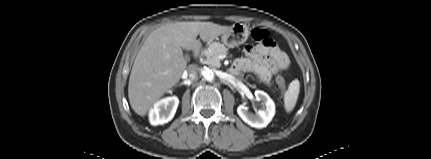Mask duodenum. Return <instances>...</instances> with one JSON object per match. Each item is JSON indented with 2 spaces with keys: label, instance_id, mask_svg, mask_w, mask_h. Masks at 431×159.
<instances>
[{
  "label": "duodenum",
  "instance_id": "duodenum-1",
  "mask_svg": "<svg viewBox=\"0 0 431 159\" xmlns=\"http://www.w3.org/2000/svg\"><path fill=\"white\" fill-rule=\"evenodd\" d=\"M200 49H201L200 46L195 47L193 50L194 55H197L200 52Z\"/></svg>",
  "mask_w": 431,
  "mask_h": 159
}]
</instances>
